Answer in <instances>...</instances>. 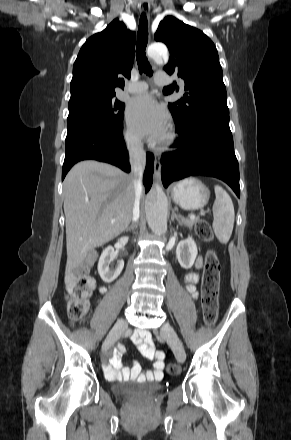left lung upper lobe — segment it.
I'll use <instances>...</instances> for the list:
<instances>
[{
	"instance_id": "5c2ea615",
	"label": "left lung upper lobe",
	"mask_w": 291,
	"mask_h": 440,
	"mask_svg": "<svg viewBox=\"0 0 291 440\" xmlns=\"http://www.w3.org/2000/svg\"><path fill=\"white\" fill-rule=\"evenodd\" d=\"M155 40L164 42L170 59L167 73L178 75L185 90L183 97L169 103L176 128L189 126L207 115H229L223 72L214 43L200 30L173 16L160 22ZM178 91L176 82L164 88L166 95Z\"/></svg>"
}]
</instances>
